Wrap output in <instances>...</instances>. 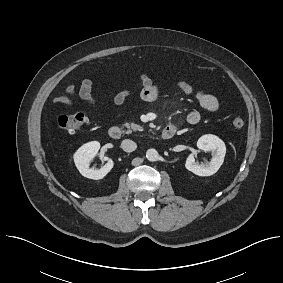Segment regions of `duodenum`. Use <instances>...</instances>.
<instances>
[{"mask_svg": "<svg viewBox=\"0 0 283 283\" xmlns=\"http://www.w3.org/2000/svg\"><path fill=\"white\" fill-rule=\"evenodd\" d=\"M176 133V127L173 125H168L161 132V138L164 140L171 139ZM122 135L121 129L118 126H113L109 129V136L114 140L120 139Z\"/></svg>", "mask_w": 283, "mask_h": 283, "instance_id": "410a0bca", "label": "duodenum"}]
</instances>
